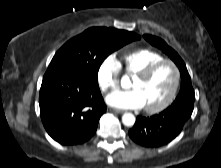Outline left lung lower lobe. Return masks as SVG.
I'll use <instances>...</instances> for the list:
<instances>
[{"label":"left lung lower lobe","instance_id":"1","mask_svg":"<svg viewBox=\"0 0 221 168\" xmlns=\"http://www.w3.org/2000/svg\"><path fill=\"white\" fill-rule=\"evenodd\" d=\"M195 97L184 96L175 99L171 106L151 117L138 116L130 138L144 147H160L168 144L182 131L193 112Z\"/></svg>","mask_w":221,"mask_h":168}]
</instances>
